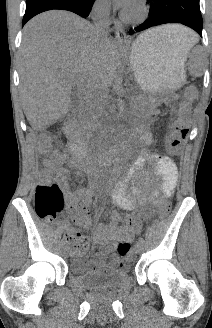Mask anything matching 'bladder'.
Listing matches in <instances>:
<instances>
[{
  "mask_svg": "<svg viewBox=\"0 0 212 328\" xmlns=\"http://www.w3.org/2000/svg\"><path fill=\"white\" fill-rule=\"evenodd\" d=\"M73 277L85 288L93 291L113 290L123 285L128 279V273L114 270L108 273H97L89 268V261L83 257H74L70 264Z\"/></svg>",
  "mask_w": 212,
  "mask_h": 328,
  "instance_id": "bladder-1",
  "label": "bladder"
}]
</instances>
